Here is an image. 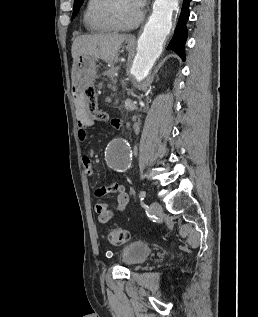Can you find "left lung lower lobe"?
<instances>
[{
	"label": "left lung lower lobe",
	"instance_id": "obj_1",
	"mask_svg": "<svg viewBox=\"0 0 258 317\" xmlns=\"http://www.w3.org/2000/svg\"><path fill=\"white\" fill-rule=\"evenodd\" d=\"M191 0H184L174 35L167 47L168 50H174L183 60H185V42L187 39L186 22L189 18V3Z\"/></svg>",
	"mask_w": 258,
	"mask_h": 317
}]
</instances>
